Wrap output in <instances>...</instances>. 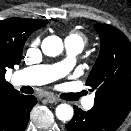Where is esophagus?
<instances>
[{
	"mask_svg": "<svg viewBox=\"0 0 131 131\" xmlns=\"http://www.w3.org/2000/svg\"><path fill=\"white\" fill-rule=\"evenodd\" d=\"M46 99L49 103H55L61 101L59 98L53 96V95H47Z\"/></svg>",
	"mask_w": 131,
	"mask_h": 131,
	"instance_id": "obj_1",
	"label": "esophagus"
}]
</instances>
